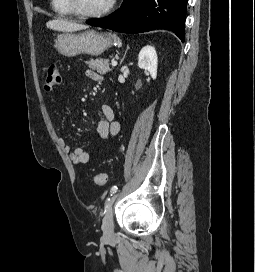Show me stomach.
Listing matches in <instances>:
<instances>
[{"label":"stomach","mask_w":255,"mask_h":272,"mask_svg":"<svg viewBox=\"0 0 255 272\" xmlns=\"http://www.w3.org/2000/svg\"><path fill=\"white\" fill-rule=\"evenodd\" d=\"M113 44V38L104 33L87 30L82 33H63L55 39L54 47L67 57L80 54L101 55Z\"/></svg>","instance_id":"obj_1"}]
</instances>
